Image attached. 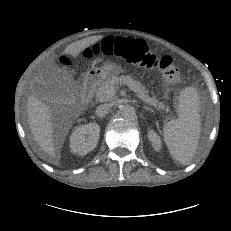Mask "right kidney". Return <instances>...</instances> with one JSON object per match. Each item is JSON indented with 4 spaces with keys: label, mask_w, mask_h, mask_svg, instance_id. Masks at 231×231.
<instances>
[{
    "label": "right kidney",
    "mask_w": 231,
    "mask_h": 231,
    "mask_svg": "<svg viewBox=\"0 0 231 231\" xmlns=\"http://www.w3.org/2000/svg\"><path fill=\"white\" fill-rule=\"evenodd\" d=\"M99 135L100 126L95 122L76 127L70 136L71 152L86 155L96 148Z\"/></svg>",
    "instance_id": "obj_1"
}]
</instances>
